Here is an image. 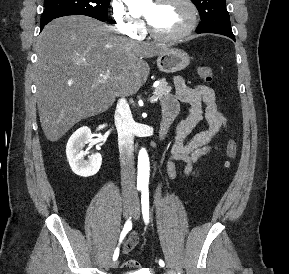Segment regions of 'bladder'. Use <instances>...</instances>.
<instances>
[{
	"label": "bladder",
	"mask_w": 289,
	"mask_h": 274,
	"mask_svg": "<svg viewBox=\"0 0 289 274\" xmlns=\"http://www.w3.org/2000/svg\"><path fill=\"white\" fill-rule=\"evenodd\" d=\"M122 274H147V273L142 272V271H134V272H124Z\"/></svg>",
	"instance_id": "1"
}]
</instances>
